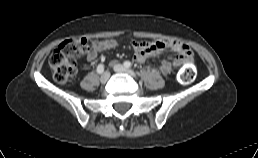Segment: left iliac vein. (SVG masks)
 Masks as SVG:
<instances>
[{
  "label": "left iliac vein",
  "mask_w": 258,
  "mask_h": 158,
  "mask_svg": "<svg viewBox=\"0 0 258 158\" xmlns=\"http://www.w3.org/2000/svg\"><path fill=\"white\" fill-rule=\"evenodd\" d=\"M113 69H114L115 72H118V73H126V74H128V75H130L132 77L136 76V74H135V72L133 70L128 69V68L124 67L121 64H115L113 66Z\"/></svg>",
  "instance_id": "4c4485c4"
}]
</instances>
